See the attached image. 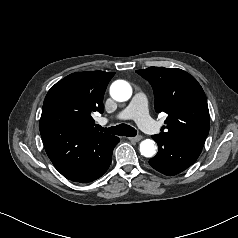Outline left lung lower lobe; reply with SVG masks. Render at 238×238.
Returning <instances> with one entry per match:
<instances>
[{
	"instance_id": "1",
	"label": "left lung lower lobe",
	"mask_w": 238,
	"mask_h": 238,
	"mask_svg": "<svg viewBox=\"0 0 238 238\" xmlns=\"http://www.w3.org/2000/svg\"><path fill=\"white\" fill-rule=\"evenodd\" d=\"M152 138L158 144L157 155L150 159L149 164L160 173L168 176L176 175L199 157L202 149L170 139Z\"/></svg>"
}]
</instances>
